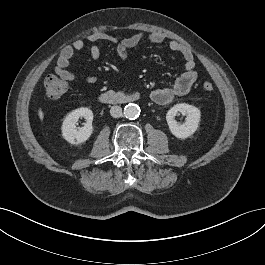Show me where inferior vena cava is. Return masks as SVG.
Wrapping results in <instances>:
<instances>
[{"instance_id": "inferior-vena-cava-1", "label": "inferior vena cava", "mask_w": 265, "mask_h": 265, "mask_svg": "<svg viewBox=\"0 0 265 265\" xmlns=\"http://www.w3.org/2000/svg\"><path fill=\"white\" fill-rule=\"evenodd\" d=\"M110 114L114 118H118L122 115V108L120 106H112L110 109Z\"/></svg>"}]
</instances>
